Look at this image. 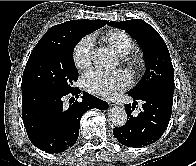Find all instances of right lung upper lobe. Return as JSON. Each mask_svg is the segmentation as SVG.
Instances as JSON below:
<instances>
[{
	"label": "right lung upper lobe",
	"instance_id": "cb5924a9",
	"mask_svg": "<svg viewBox=\"0 0 196 166\" xmlns=\"http://www.w3.org/2000/svg\"><path fill=\"white\" fill-rule=\"evenodd\" d=\"M78 22L80 24H83L84 26H86L89 30L90 33L99 29L100 27L105 26L108 21L105 20H89V19H82V20H71V21H67L65 23L59 24V25H55L53 27H51L44 35L41 39H48V38H56V37H60L62 35V29L63 27L68 23V22Z\"/></svg>",
	"mask_w": 196,
	"mask_h": 166
}]
</instances>
